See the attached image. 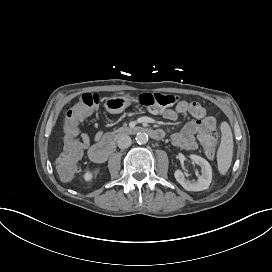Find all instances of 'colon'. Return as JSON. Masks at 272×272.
Returning a JSON list of instances; mask_svg holds the SVG:
<instances>
[{
  "mask_svg": "<svg viewBox=\"0 0 272 272\" xmlns=\"http://www.w3.org/2000/svg\"><path fill=\"white\" fill-rule=\"evenodd\" d=\"M176 101L175 95H164L162 93L142 94L138 98L141 106L149 109L151 112H159L171 107ZM100 97L94 93L84 94L79 102L66 112V135L62 141L61 146L63 151L60 159L57 162V170L59 177L68 181L71 179L72 172L79 167V158L82 154V149L78 144V139L75 136L77 127L80 125V120L84 118H91L93 116V108L98 107ZM204 147L210 149L209 156L213 158L215 152L213 148L216 147L218 138L216 133V124L213 120H206L204 122Z\"/></svg>",
  "mask_w": 272,
  "mask_h": 272,
  "instance_id": "obj_1",
  "label": "colon"
}]
</instances>
